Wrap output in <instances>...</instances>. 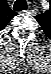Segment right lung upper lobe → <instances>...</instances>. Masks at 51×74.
I'll use <instances>...</instances> for the list:
<instances>
[{"mask_svg": "<svg viewBox=\"0 0 51 74\" xmlns=\"http://www.w3.org/2000/svg\"><path fill=\"white\" fill-rule=\"evenodd\" d=\"M15 15L16 14L13 11H11L10 9H8L7 13H6V19L4 21L3 26H5L10 21V19H12Z\"/></svg>", "mask_w": 51, "mask_h": 74, "instance_id": "right-lung-upper-lobe-1", "label": "right lung upper lobe"}]
</instances>
